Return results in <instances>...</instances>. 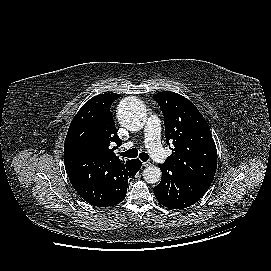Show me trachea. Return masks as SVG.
<instances>
[{
	"instance_id": "1",
	"label": "trachea",
	"mask_w": 271,
	"mask_h": 271,
	"mask_svg": "<svg viewBox=\"0 0 271 271\" xmlns=\"http://www.w3.org/2000/svg\"><path fill=\"white\" fill-rule=\"evenodd\" d=\"M120 155L127 158H136L138 156V150L136 148H132L125 152H121ZM139 158L146 162L149 159V155L145 152H141L139 153Z\"/></svg>"
}]
</instances>
